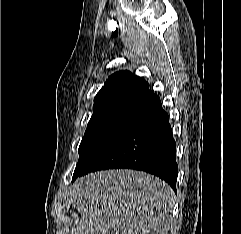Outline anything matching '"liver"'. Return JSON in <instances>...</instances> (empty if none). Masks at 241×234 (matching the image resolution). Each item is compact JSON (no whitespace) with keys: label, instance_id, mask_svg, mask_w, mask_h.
Returning <instances> with one entry per match:
<instances>
[{"label":"liver","instance_id":"obj_1","mask_svg":"<svg viewBox=\"0 0 241 234\" xmlns=\"http://www.w3.org/2000/svg\"><path fill=\"white\" fill-rule=\"evenodd\" d=\"M174 196L167 183L145 172L91 173L73 185V207L81 217L71 234H166Z\"/></svg>","mask_w":241,"mask_h":234}]
</instances>
